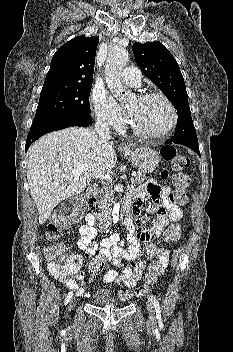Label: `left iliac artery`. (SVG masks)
Masks as SVG:
<instances>
[{
    "label": "left iliac artery",
    "mask_w": 233,
    "mask_h": 352,
    "mask_svg": "<svg viewBox=\"0 0 233 352\" xmlns=\"http://www.w3.org/2000/svg\"><path fill=\"white\" fill-rule=\"evenodd\" d=\"M150 300H151V302L154 305V308H155V311H156V318H157V320L159 322H161L162 318H161V309H160L159 301L154 295H150Z\"/></svg>",
    "instance_id": "44dca946"
}]
</instances>
